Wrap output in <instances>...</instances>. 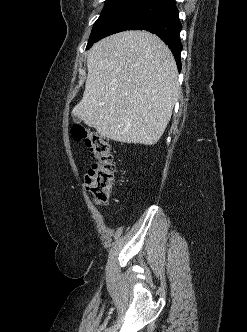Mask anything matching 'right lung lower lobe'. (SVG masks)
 <instances>
[{
	"mask_svg": "<svg viewBox=\"0 0 247 332\" xmlns=\"http://www.w3.org/2000/svg\"><path fill=\"white\" fill-rule=\"evenodd\" d=\"M181 29L182 25L175 0H149L113 22L104 30L99 40L126 30L149 31L159 36L168 45L180 72Z\"/></svg>",
	"mask_w": 247,
	"mask_h": 332,
	"instance_id": "1",
	"label": "right lung lower lobe"
}]
</instances>
